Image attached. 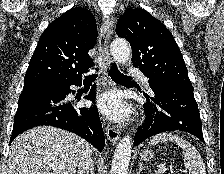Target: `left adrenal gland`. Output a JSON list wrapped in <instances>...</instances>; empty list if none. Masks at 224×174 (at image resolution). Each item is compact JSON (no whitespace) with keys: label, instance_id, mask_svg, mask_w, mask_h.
<instances>
[{"label":"left adrenal gland","instance_id":"a2214340","mask_svg":"<svg viewBox=\"0 0 224 174\" xmlns=\"http://www.w3.org/2000/svg\"><path fill=\"white\" fill-rule=\"evenodd\" d=\"M138 166H139V171L137 174H141L142 171L146 170V167L143 166V163H139Z\"/></svg>","mask_w":224,"mask_h":174}]
</instances>
